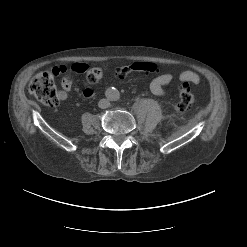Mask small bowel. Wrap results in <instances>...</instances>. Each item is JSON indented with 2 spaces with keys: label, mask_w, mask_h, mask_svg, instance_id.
<instances>
[{
  "label": "small bowel",
  "mask_w": 247,
  "mask_h": 247,
  "mask_svg": "<svg viewBox=\"0 0 247 247\" xmlns=\"http://www.w3.org/2000/svg\"><path fill=\"white\" fill-rule=\"evenodd\" d=\"M157 69L156 65L148 62H135L129 66L118 68L115 74L118 77L125 76L133 71H142L147 73H153ZM89 70V65L83 62H77L71 66L57 65L52 68V73L55 76L64 75L62 81V90L59 92L60 100H65L73 88L74 75L86 73ZM173 80L171 73L158 74L150 83L151 92L158 97H167L169 94L164 89L165 86L170 84ZM179 80L184 83L198 84L200 82L199 76L193 71H183L179 75ZM95 91L91 88H86L83 91L85 98H92Z\"/></svg>",
  "instance_id": "small-bowel-1"
}]
</instances>
